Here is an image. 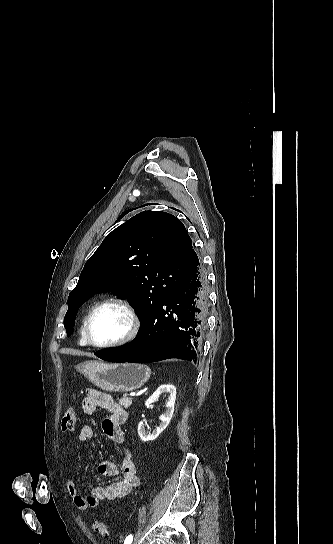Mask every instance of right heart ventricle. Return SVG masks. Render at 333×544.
Here are the masks:
<instances>
[{"mask_svg":"<svg viewBox=\"0 0 333 544\" xmlns=\"http://www.w3.org/2000/svg\"><path fill=\"white\" fill-rule=\"evenodd\" d=\"M85 318L86 316H84L82 322H81V325H80V329H79V344L81 346H87L88 343L85 339V336H84V322H85Z\"/></svg>","mask_w":333,"mask_h":544,"instance_id":"1","label":"right heart ventricle"}]
</instances>
